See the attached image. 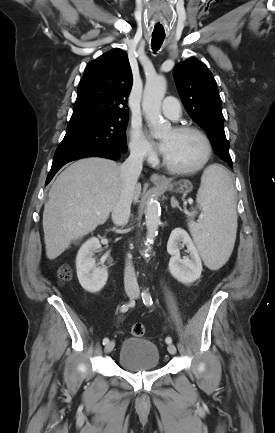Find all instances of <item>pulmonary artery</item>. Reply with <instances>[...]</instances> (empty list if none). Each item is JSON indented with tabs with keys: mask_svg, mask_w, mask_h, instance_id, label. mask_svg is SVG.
I'll list each match as a JSON object with an SVG mask.
<instances>
[{
	"mask_svg": "<svg viewBox=\"0 0 275 433\" xmlns=\"http://www.w3.org/2000/svg\"><path fill=\"white\" fill-rule=\"evenodd\" d=\"M162 111L165 116L172 120H176L181 115L180 103L173 97H167L164 99L162 104Z\"/></svg>",
	"mask_w": 275,
	"mask_h": 433,
	"instance_id": "pulmonary-artery-1",
	"label": "pulmonary artery"
}]
</instances>
